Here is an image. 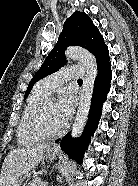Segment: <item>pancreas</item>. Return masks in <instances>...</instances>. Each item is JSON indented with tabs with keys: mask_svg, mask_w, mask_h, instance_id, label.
Returning <instances> with one entry per match:
<instances>
[{
	"mask_svg": "<svg viewBox=\"0 0 138 186\" xmlns=\"http://www.w3.org/2000/svg\"><path fill=\"white\" fill-rule=\"evenodd\" d=\"M29 186H43V185L40 178H35L29 183Z\"/></svg>",
	"mask_w": 138,
	"mask_h": 186,
	"instance_id": "1",
	"label": "pancreas"
}]
</instances>
